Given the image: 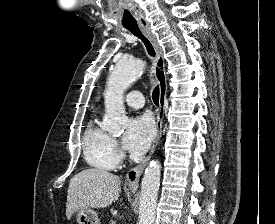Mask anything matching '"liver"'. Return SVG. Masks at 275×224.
Instances as JSON below:
<instances>
[{"label": "liver", "instance_id": "obj_1", "mask_svg": "<svg viewBox=\"0 0 275 224\" xmlns=\"http://www.w3.org/2000/svg\"><path fill=\"white\" fill-rule=\"evenodd\" d=\"M120 192L117 175L98 168L83 170L70 180L66 217L69 220L79 209L108 207L118 200Z\"/></svg>", "mask_w": 275, "mask_h": 224}]
</instances>
